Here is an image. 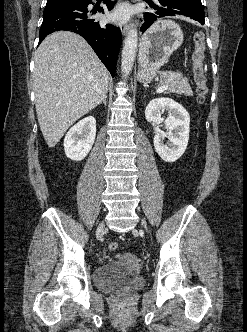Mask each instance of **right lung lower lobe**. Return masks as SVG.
<instances>
[{"instance_id": "98d812e1", "label": "right lung lower lobe", "mask_w": 247, "mask_h": 332, "mask_svg": "<svg viewBox=\"0 0 247 332\" xmlns=\"http://www.w3.org/2000/svg\"><path fill=\"white\" fill-rule=\"evenodd\" d=\"M104 3L108 10H111L114 5L111 0H104ZM89 4H92L91 0L48 2L43 13L39 43L55 31L75 32L85 38L114 77L122 42L121 31L113 25H101L96 19L90 18L95 12H89ZM99 12L104 13L103 8H100Z\"/></svg>"}]
</instances>
